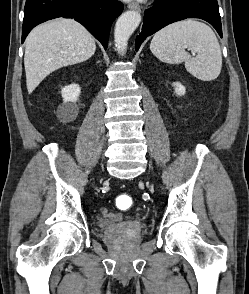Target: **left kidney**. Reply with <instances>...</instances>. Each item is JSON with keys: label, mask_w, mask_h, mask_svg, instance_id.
Returning a JSON list of instances; mask_svg holds the SVG:
<instances>
[{"label": "left kidney", "mask_w": 249, "mask_h": 294, "mask_svg": "<svg viewBox=\"0 0 249 294\" xmlns=\"http://www.w3.org/2000/svg\"><path fill=\"white\" fill-rule=\"evenodd\" d=\"M173 86L175 87V92L177 95L182 96L185 94V87L180 83H173Z\"/></svg>", "instance_id": "obj_1"}]
</instances>
